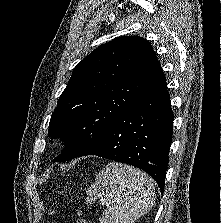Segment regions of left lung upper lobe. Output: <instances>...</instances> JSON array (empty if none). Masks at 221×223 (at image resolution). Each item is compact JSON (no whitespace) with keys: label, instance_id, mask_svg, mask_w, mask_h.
<instances>
[{"label":"left lung upper lobe","instance_id":"1","mask_svg":"<svg viewBox=\"0 0 221 223\" xmlns=\"http://www.w3.org/2000/svg\"><path fill=\"white\" fill-rule=\"evenodd\" d=\"M161 66L139 36H121L79 62L52 113L48 135L67 142L53 162L78 157L154 83Z\"/></svg>","mask_w":221,"mask_h":223}]
</instances>
